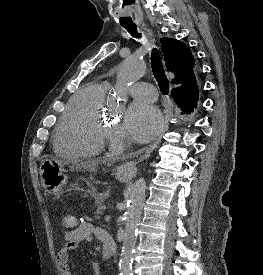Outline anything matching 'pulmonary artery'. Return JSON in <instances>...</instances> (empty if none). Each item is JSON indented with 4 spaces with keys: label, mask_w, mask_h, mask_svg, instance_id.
I'll return each instance as SVG.
<instances>
[{
    "label": "pulmonary artery",
    "mask_w": 263,
    "mask_h": 275,
    "mask_svg": "<svg viewBox=\"0 0 263 275\" xmlns=\"http://www.w3.org/2000/svg\"><path fill=\"white\" fill-rule=\"evenodd\" d=\"M106 86L109 87V84ZM128 91L134 98L146 102H153L157 97L155 87L147 82H136L129 87Z\"/></svg>",
    "instance_id": "obj_1"
}]
</instances>
